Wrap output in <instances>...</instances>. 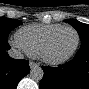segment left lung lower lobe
Returning <instances> with one entry per match:
<instances>
[{
	"label": "left lung lower lobe",
	"instance_id": "left-lung-lower-lobe-1",
	"mask_svg": "<svg viewBox=\"0 0 89 89\" xmlns=\"http://www.w3.org/2000/svg\"><path fill=\"white\" fill-rule=\"evenodd\" d=\"M40 89H89V41L81 42L75 57L58 68L42 66Z\"/></svg>",
	"mask_w": 89,
	"mask_h": 89
}]
</instances>
